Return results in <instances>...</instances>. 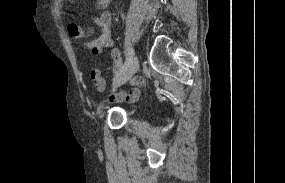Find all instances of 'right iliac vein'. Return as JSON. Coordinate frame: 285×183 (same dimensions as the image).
Returning <instances> with one entry per match:
<instances>
[{"label":"right iliac vein","instance_id":"1","mask_svg":"<svg viewBox=\"0 0 285 183\" xmlns=\"http://www.w3.org/2000/svg\"><path fill=\"white\" fill-rule=\"evenodd\" d=\"M138 68H139V62H138L137 57H135V58H133L132 62L127 67L125 72L122 74V76L117 78L114 81V86L118 87V86L124 84L125 82H127L137 72ZM103 107H104V102H101L97 107V115L98 116H100Z\"/></svg>","mask_w":285,"mask_h":183}]
</instances>
